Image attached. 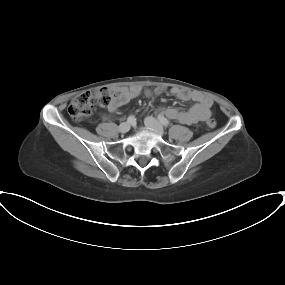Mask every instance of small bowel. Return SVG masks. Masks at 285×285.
Masks as SVG:
<instances>
[{"mask_svg":"<svg viewBox=\"0 0 285 285\" xmlns=\"http://www.w3.org/2000/svg\"><path fill=\"white\" fill-rule=\"evenodd\" d=\"M163 92H165L163 87H157L153 92L146 91L144 94L146 97L152 98L153 95H159ZM115 93L116 95L108 105V110L111 113L116 112L121 106L141 96L143 90L139 85H132L130 87H119L115 89ZM170 94L181 101L192 100L195 104L185 110L172 107L160 108L159 112L169 119L176 120L182 124L191 125L205 121L211 117L212 100L206 95L198 91H190L181 88H172Z\"/></svg>","mask_w":285,"mask_h":285,"instance_id":"c3829d8e","label":"small bowel"}]
</instances>
